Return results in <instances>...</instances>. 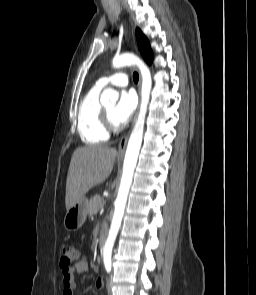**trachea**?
I'll use <instances>...</instances> for the list:
<instances>
[{"label":"trachea","mask_w":256,"mask_h":295,"mask_svg":"<svg viewBox=\"0 0 256 295\" xmlns=\"http://www.w3.org/2000/svg\"><path fill=\"white\" fill-rule=\"evenodd\" d=\"M133 80H134L135 83L138 82V80H139V75H138V73H136V72L133 73Z\"/></svg>","instance_id":"obj_1"}]
</instances>
